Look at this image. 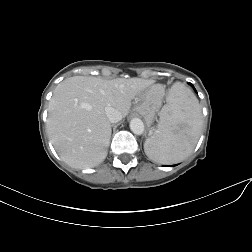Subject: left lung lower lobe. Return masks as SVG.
<instances>
[{
    "instance_id": "1",
    "label": "left lung lower lobe",
    "mask_w": 252,
    "mask_h": 252,
    "mask_svg": "<svg viewBox=\"0 0 252 252\" xmlns=\"http://www.w3.org/2000/svg\"><path fill=\"white\" fill-rule=\"evenodd\" d=\"M190 85L194 88V86L190 83ZM194 90H195V88H194ZM196 91V90H195ZM172 166H174V165H172Z\"/></svg>"
}]
</instances>
